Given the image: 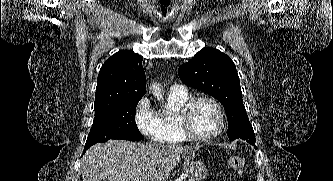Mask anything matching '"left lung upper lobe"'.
<instances>
[{
	"label": "left lung upper lobe",
	"mask_w": 333,
	"mask_h": 181,
	"mask_svg": "<svg viewBox=\"0 0 333 181\" xmlns=\"http://www.w3.org/2000/svg\"><path fill=\"white\" fill-rule=\"evenodd\" d=\"M178 75L187 86L210 94L224 105L229 123V139L246 136L255 140L243 105L239 76L228 55L214 48H205L191 61L181 65Z\"/></svg>",
	"instance_id": "5c2ea615"
}]
</instances>
